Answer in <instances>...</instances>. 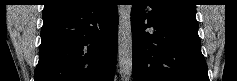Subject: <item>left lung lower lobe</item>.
Wrapping results in <instances>:
<instances>
[{
	"instance_id": "left-lung-lower-lobe-1",
	"label": "left lung lower lobe",
	"mask_w": 237,
	"mask_h": 81,
	"mask_svg": "<svg viewBox=\"0 0 237 81\" xmlns=\"http://www.w3.org/2000/svg\"><path fill=\"white\" fill-rule=\"evenodd\" d=\"M195 15L155 0L133 1L134 81H209ZM151 26L155 31L145 32Z\"/></svg>"
}]
</instances>
